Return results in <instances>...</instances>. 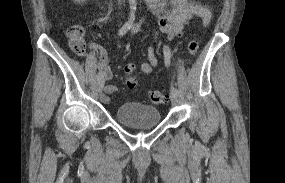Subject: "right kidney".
Segmentation results:
<instances>
[{"instance_id": "ca27d5eb", "label": "right kidney", "mask_w": 285, "mask_h": 183, "mask_svg": "<svg viewBox=\"0 0 285 183\" xmlns=\"http://www.w3.org/2000/svg\"><path fill=\"white\" fill-rule=\"evenodd\" d=\"M74 3H77V4H82L84 2H86L87 0H72Z\"/></svg>"}]
</instances>
